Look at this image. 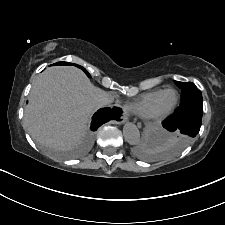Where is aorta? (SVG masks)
I'll return each instance as SVG.
<instances>
[{
  "instance_id": "762f6f07",
  "label": "aorta",
  "mask_w": 225,
  "mask_h": 225,
  "mask_svg": "<svg viewBox=\"0 0 225 225\" xmlns=\"http://www.w3.org/2000/svg\"><path fill=\"white\" fill-rule=\"evenodd\" d=\"M123 135L125 140L131 145H136L140 142V132L132 123H126L124 125Z\"/></svg>"
}]
</instances>
